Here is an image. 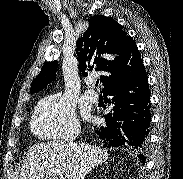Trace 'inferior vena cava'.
I'll list each match as a JSON object with an SVG mask.
<instances>
[{
  "instance_id": "602c4592",
  "label": "inferior vena cava",
  "mask_w": 183,
  "mask_h": 179,
  "mask_svg": "<svg viewBox=\"0 0 183 179\" xmlns=\"http://www.w3.org/2000/svg\"><path fill=\"white\" fill-rule=\"evenodd\" d=\"M78 136V132L71 133L64 138V143L67 147L73 146L74 140Z\"/></svg>"
}]
</instances>
